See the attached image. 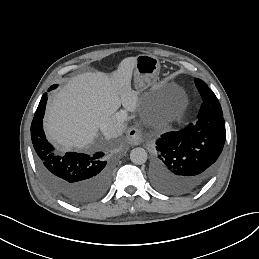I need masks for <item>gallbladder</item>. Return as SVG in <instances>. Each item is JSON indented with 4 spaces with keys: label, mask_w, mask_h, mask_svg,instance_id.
Segmentation results:
<instances>
[{
    "label": "gallbladder",
    "mask_w": 259,
    "mask_h": 259,
    "mask_svg": "<svg viewBox=\"0 0 259 259\" xmlns=\"http://www.w3.org/2000/svg\"><path fill=\"white\" fill-rule=\"evenodd\" d=\"M141 105H146V101L144 98H142Z\"/></svg>",
    "instance_id": "bac80fb5"
}]
</instances>
